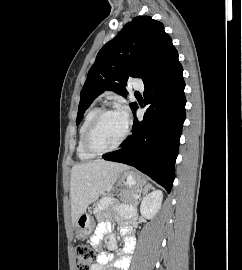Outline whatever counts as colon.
<instances>
[{"mask_svg": "<svg viewBox=\"0 0 242 270\" xmlns=\"http://www.w3.org/2000/svg\"><path fill=\"white\" fill-rule=\"evenodd\" d=\"M77 270H91L95 261V254L88 245H79L75 250Z\"/></svg>", "mask_w": 242, "mask_h": 270, "instance_id": "colon-1", "label": "colon"}]
</instances>
